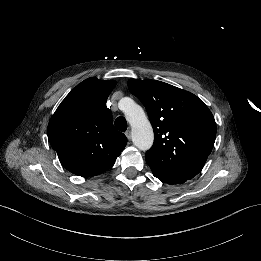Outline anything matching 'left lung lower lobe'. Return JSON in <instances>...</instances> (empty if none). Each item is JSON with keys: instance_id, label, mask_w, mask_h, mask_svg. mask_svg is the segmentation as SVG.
Listing matches in <instances>:
<instances>
[{"instance_id": "left-lung-lower-lobe-1", "label": "left lung lower lobe", "mask_w": 261, "mask_h": 261, "mask_svg": "<svg viewBox=\"0 0 261 261\" xmlns=\"http://www.w3.org/2000/svg\"><path fill=\"white\" fill-rule=\"evenodd\" d=\"M152 170V173L153 175L158 178L160 181H162L163 183H167V184H181V183H184L186 182V179H180V178H176V177H171V176H168L166 174H163L157 170Z\"/></svg>"}]
</instances>
